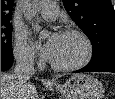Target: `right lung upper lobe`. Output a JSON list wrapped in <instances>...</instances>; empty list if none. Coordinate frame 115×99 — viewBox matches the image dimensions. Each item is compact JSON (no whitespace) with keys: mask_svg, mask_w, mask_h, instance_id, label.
Listing matches in <instances>:
<instances>
[{"mask_svg":"<svg viewBox=\"0 0 115 99\" xmlns=\"http://www.w3.org/2000/svg\"><path fill=\"white\" fill-rule=\"evenodd\" d=\"M14 0H1V24H10Z\"/></svg>","mask_w":115,"mask_h":99,"instance_id":"obj_1","label":"right lung upper lobe"}]
</instances>
